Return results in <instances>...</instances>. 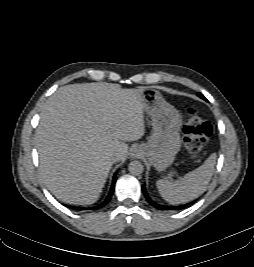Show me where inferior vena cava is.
Listing matches in <instances>:
<instances>
[{"mask_svg": "<svg viewBox=\"0 0 254 267\" xmlns=\"http://www.w3.org/2000/svg\"><path fill=\"white\" fill-rule=\"evenodd\" d=\"M118 160H119V154L117 153L116 156H115V158H114V161L116 162Z\"/></svg>", "mask_w": 254, "mask_h": 267, "instance_id": "602c4592", "label": "inferior vena cava"}]
</instances>
